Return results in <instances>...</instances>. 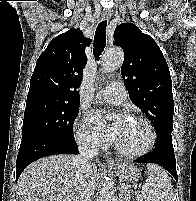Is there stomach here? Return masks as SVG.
<instances>
[{
  "instance_id": "1",
  "label": "stomach",
  "mask_w": 196,
  "mask_h": 201,
  "mask_svg": "<svg viewBox=\"0 0 196 201\" xmlns=\"http://www.w3.org/2000/svg\"><path fill=\"white\" fill-rule=\"evenodd\" d=\"M113 171L118 176L120 183L126 186L137 182L141 177L138 169L132 165H118L113 167Z\"/></svg>"
}]
</instances>
